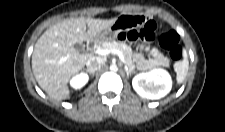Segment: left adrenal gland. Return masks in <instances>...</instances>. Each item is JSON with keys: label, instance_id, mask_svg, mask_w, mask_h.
Here are the masks:
<instances>
[{"label": "left adrenal gland", "instance_id": "left-adrenal-gland-1", "mask_svg": "<svg viewBox=\"0 0 225 132\" xmlns=\"http://www.w3.org/2000/svg\"><path fill=\"white\" fill-rule=\"evenodd\" d=\"M125 71H126V74L127 76L129 77V74L132 73V70H130L128 67L125 66Z\"/></svg>", "mask_w": 225, "mask_h": 132}]
</instances>
